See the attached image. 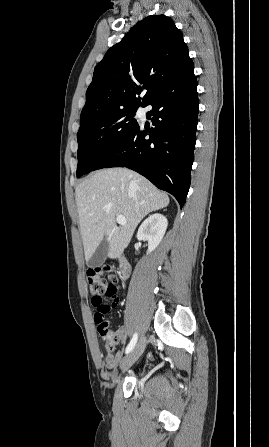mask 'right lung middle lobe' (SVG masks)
I'll use <instances>...</instances> for the list:
<instances>
[{"instance_id":"1","label":"right lung middle lobe","mask_w":269,"mask_h":447,"mask_svg":"<svg viewBox=\"0 0 269 447\" xmlns=\"http://www.w3.org/2000/svg\"><path fill=\"white\" fill-rule=\"evenodd\" d=\"M139 106L106 112L80 127L77 133V177L94 170L139 127L134 118Z\"/></svg>"}]
</instances>
